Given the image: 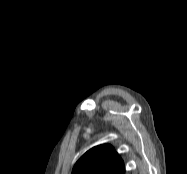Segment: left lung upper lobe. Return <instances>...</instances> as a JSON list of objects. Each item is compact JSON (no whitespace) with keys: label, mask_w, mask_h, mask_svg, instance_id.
<instances>
[{"label":"left lung upper lobe","mask_w":187,"mask_h":174,"mask_svg":"<svg viewBox=\"0 0 187 174\" xmlns=\"http://www.w3.org/2000/svg\"><path fill=\"white\" fill-rule=\"evenodd\" d=\"M72 174H125V170L118 153L105 144L88 150L76 162Z\"/></svg>","instance_id":"5c2ea615"}]
</instances>
